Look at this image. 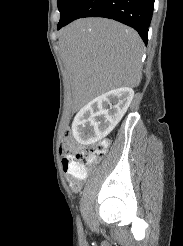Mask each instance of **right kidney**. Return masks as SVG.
<instances>
[{"mask_svg":"<svg viewBox=\"0 0 183 246\" xmlns=\"http://www.w3.org/2000/svg\"><path fill=\"white\" fill-rule=\"evenodd\" d=\"M134 91L121 87L93 99L75 116L72 133L82 145H91L105 138L126 113Z\"/></svg>","mask_w":183,"mask_h":246,"instance_id":"obj_1","label":"right kidney"}]
</instances>
